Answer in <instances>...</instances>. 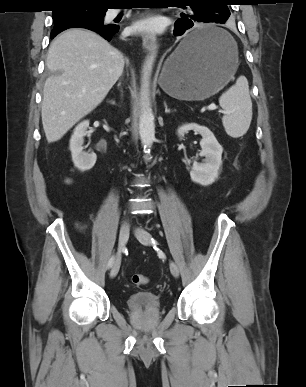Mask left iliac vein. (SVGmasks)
I'll list each match as a JSON object with an SVG mask.
<instances>
[{"label":"left iliac vein","instance_id":"4c4485c4","mask_svg":"<svg viewBox=\"0 0 306 387\" xmlns=\"http://www.w3.org/2000/svg\"><path fill=\"white\" fill-rule=\"evenodd\" d=\"M135 235H136L137 239L140 241V243H142L143 245H150L151 244V235L145 229L137 228L135 230ZM170 271L174 277L179 276V268H178L177 264L173 261L170 262Z\"/></svg>","mask_w":306,"mask_h":387}]
</instances>
